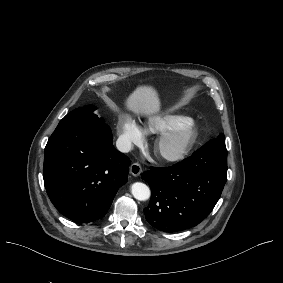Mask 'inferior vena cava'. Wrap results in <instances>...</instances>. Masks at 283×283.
Segmentation results:
<instances>
[{
	"mask_svg": "<svg viewBox=\"0 0 283 283\" xmlns=\"http://www.w3.org/2000/svg\"><path fill=\"white\" fill-rule=\"evenodd\" d=\"M116 147L120 152L127 153L131 150V143L124 137H120L116 141Z\"/></svg>",
	"mask_w": 283,
	"mask_h": 283,
	"instance_id": "inferior-vena-cava-1",
	"label": "inferior vena cava"
}]
</instances>
